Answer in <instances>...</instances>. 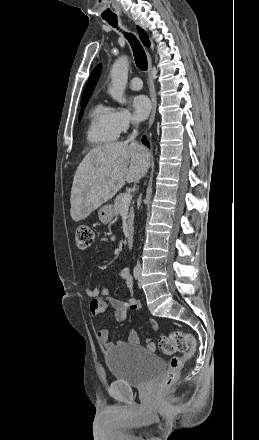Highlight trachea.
Wrapping results in <instances>:
<instances>
[{
    "mask_svg": "<svg viewBox=\"0 0 259 440\" xmlns=\"http://www.w3.org/2000/svg\"><path fill=\"white\" fill-rule=\"evenodd\" d=\"M106 21L113 27H117V18L106 19ZM125 37L132 47L137 67L142 71L147 70V56L139 40L131 33H126Z\"/></svg>",
    "mask_w": 259,
    "mask_h": 440,
    "instance_id": "trachea-1",
    "label": "trachea"
}]
</instances>
